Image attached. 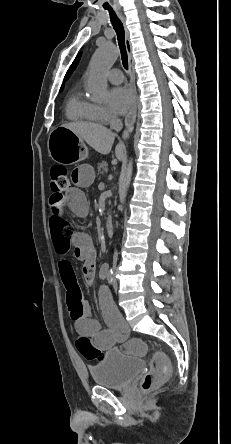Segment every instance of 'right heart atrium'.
I'll use <instances>...</instances> for the list:
<instances>
[{
	"instance_id": "1",
	"label": "right heart atrium",
	"mask_w": 231,
	"mask_h": 444,
	"mask_svg": "<svg viewBox=\"0 0 231 444\" xmlns=\"http://www.w3.org/2000/svg\"><path fill=\"white\" fill-rule=\"evenodd\" d=\"M92 107L97 121L107 122L113 119V115L106 107L98 104H92Z\"/></svg>"
}]
</instances>
